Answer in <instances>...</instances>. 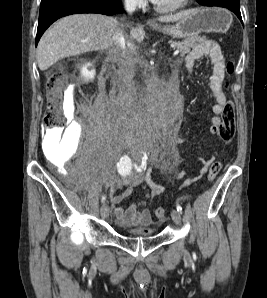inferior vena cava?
I'll return each mask as SVG.
<instances>
[{"label": "inferior vena cava", "instance_id": "obj_1", "mask_svg": "<svg viewBox=\"0 0 267 298\" xmlns=\"http://www.w3.org/2000/svg\"><path fill=\"white\" fill-rule=\"evenodd\" d=\"M138 3L139 0H125L124 6L127 13L131 15L135 11ZM115 40L118 42V45L112 50V55L118 61V74L121 79L116 103L119 112L126 116L133 111L136 97L134 77L138 54L136 46L131 41H127L125 44L124 34L121 29L116 35Z\"/></svg>", "mask_w": 267, "mask_h": 298}]
</instances>
